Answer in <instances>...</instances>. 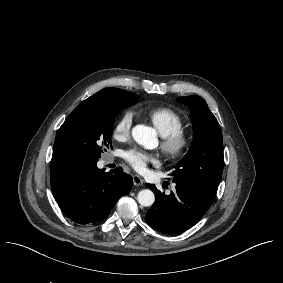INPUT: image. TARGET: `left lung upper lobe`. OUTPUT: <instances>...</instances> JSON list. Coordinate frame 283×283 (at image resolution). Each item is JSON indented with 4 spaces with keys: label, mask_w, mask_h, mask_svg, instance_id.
Here are the masks:
<instances>
[{
    "label": "left lung upper lobe",
    "mask_w": 283,
    "mask_h": 283,
    "mask_svg": "<svg viewBox=\"0 0 283 283\" xmlns=\"http://www.w3.org/2000/svg\"><path fill=\"white\" fill-rule=\"evenodd\" d=\"M191 110L193 142L173 171V182L214 201L221 181L224 158L222 131L205 100L199 96L177 98Z\"/></svg>",
    "instance_id": "obj_1"
}]
</instances>
